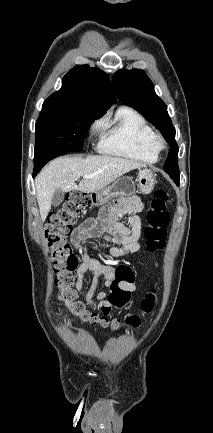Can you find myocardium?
Wrapping results in <instances>:
<instances>
[{
    "instance_id": "myocardium-1",
    "label": "myocardium",
    "mask_w": 213,
    "mask_h": 433,
    "mask_svg": "<svg viewBox=\"0 0 213 433\" xmlns=\"http://www.w3.org/2000/svg\"><path fill=\"white\" fill-rule=\"evenodd\" d=\"M155 142L159 151L163 150L166 147L164 140L160 136L156 135Z\"/></svg>"
}]
</instances>
